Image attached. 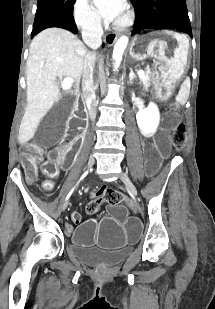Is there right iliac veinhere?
I'll return each instance as SVG.
<instances>
[{"label":"right iliac vein","instance_id":"obj_1","mask_svg":"<svg viewBox=\"0 0 215 309\" xmlns=\"http://www.w3.org/2000/svg\"><path fill=\"white\" fill-rule=\"evenodd\" d=\"M94 162H95L94 157L91 156L89 158L87 168L88 169L91 168L94 165ZM67 206H68V203H64L63 206H62V211H64L67 208Z\"/></svg>","mask_w":215,"mask_h":309}]
</instances>
